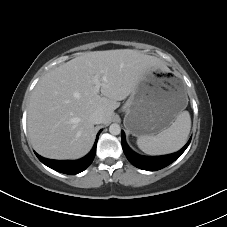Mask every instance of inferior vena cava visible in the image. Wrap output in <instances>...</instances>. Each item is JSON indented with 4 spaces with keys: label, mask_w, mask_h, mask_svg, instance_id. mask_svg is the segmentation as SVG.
<instances>
[{
    "label": "inferior vena cava",
    "mask_w": 227,
    "mask_h": 227,
    "mask_svg": "<svg viewBox=\"0 0 227 227\" xmlns=\"http://www.w3.org/2000/svg\"><path fill=\"white\" fill-rule=\"evenodd\" d=\"M103 113L100 111H95L92 113V115L90 116V121L93 124H101L103 122Z\"/></svg>",
    "instance_id": "1"
}]
</instances>
